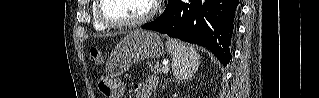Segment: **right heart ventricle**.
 Here are the masks:
<instances>
[{"label": "right heart ventricle", "instance_id": "right-heart-ventricle-1", "mask_svg": "<svg viewBox=\"0 0 319 98\" xmlns=\"http://www.w3.org/2000/svg\"><path fill=\"white\" fill-rule=\"evenodd\" d=\"M96 7H97V1H94V4L92 6L93 27L97 31H104L107 29V27L99 21L97 14H96Z\"/></svg>", "mask_w": 319, "mask_h": 98}]
</instances>
